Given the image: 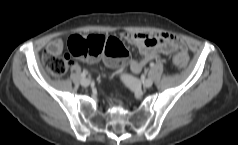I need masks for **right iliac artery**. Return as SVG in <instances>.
Listing matches in <instances>:
<instances>
[{"mask_svg": "<svg viewBox=\"0 0 238 145\" xmlns=\"http://www.w3.org/2000/svg\"><path fill=\"white\" fill-rule=\"evenodd\" d=\"M87 74H88V73H87V71H83V72L81 73V77H83V78H84V77H86V76H87Z\"/></svg>", "mask_w": 238, "mask_h": 145, "instance_id": "obj_1", "label": "right iliac artery"}]
</instances>
